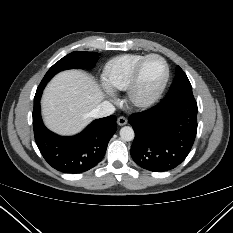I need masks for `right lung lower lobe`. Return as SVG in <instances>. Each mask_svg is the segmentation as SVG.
Masks as SVG:
<instances>
[{
  "instance_id": "1",
  "label": "right lung lower lobe",
  "mask_w": 233,
  "mask_h": 233,
  "mask_svg": "<svg viewBox=\"0 0 233 233\" xmlns=\"http://www.w3.org/2000/svg\"><path fill=\"white\" fill-rule=\"evenodd\" d=\"M44 88L34 97L33 129L36 144L47 163L64 173H81L95 167L104 157L108 142L117 130L116 116L93 121L80 134L62 137L49 131L40 113Z\"/></svg>"
}]
</instances>
